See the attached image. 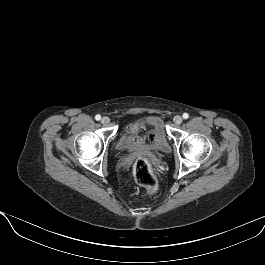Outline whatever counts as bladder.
<instances>
[{"mask_svg":"<svg viewBox=\"0 0 265 265\" xmlns=\"http://www.w3.org/2000/svg\"><path fill=\"white\" fill-rule=\"evenodd\" d=\"M145 123L153 126V128L160 131L162 129V122L157 116H149ZM135 129V126H129L122 132L118 141L117 147L120 150L136 149L145 146H164L165 141L162 137L158 136V139L153 142H145L132 136L131 132Z\"/></svg>","mask_w":265,"mask_h":265,"instance_id":"1","label":"bladder"}]
</instances>
